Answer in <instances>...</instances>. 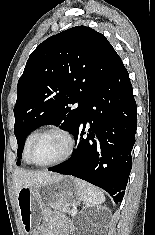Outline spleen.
Wrapping results in <instances>:
<instances>
[{
    "label": "spleen",
    "mask_w": 155,
    "mask_h": 235,
    "mask_svg": "<svg viewBox=\"0 0 155 235\" xmlns=\"http://www.w3.org/2000/svg\"><path fill=\"white\" fill-rule=\"evenodd\" d=\"M75 183L81 191L82 200L86 206H98L105 201L103 192L97 187L78 178L75 179Z\"/></svg>",
    "instance_id": "3e777b00"
}]
</instances>
